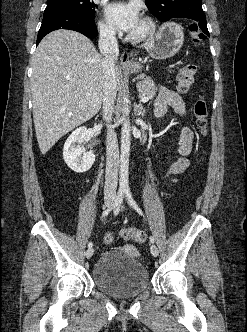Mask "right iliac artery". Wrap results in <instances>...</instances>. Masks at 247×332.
Instances as JSON below:
<instances>
[{
  "label": "right iliac artery",
  "instance_id": "right-iliac-artery-1",
  "mask_svg": "<svg viewBox=\"0 0 247 332\" xmlns=\"http://www.w3.org/2000/svg\"><path fill=\"white\" fill-rule=\"evenodd\" d=\"M123 198H124V191H119L117 196H116V199H115V202L113 203V205L106 209L105 211H103L102 213V217H106L113 209H115V211L118 212L119 208H120V205L123 201ZM93 246V243L92 242H89L88 243V248H92Z\"/></svg>",
  "mask_w": 247,
  "mask_h": 332
}]
</instances>
